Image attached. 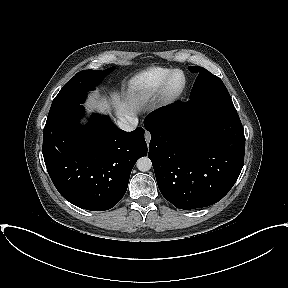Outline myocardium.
<instances>
[{"label": "myocardium", "mask_w": 288, "mask_h": 288, "mask_svg": "<svg viewBox=\"0 0 288 288\" xmlns=\"http://www.w3.org/2000/svg\"><path fill=\"white\" fill-rule=\"evenodd\" d=\"M176 76H180V81L175 83ZM186 86V77L181 70H172L162 85V95L166 102L175 100L183 92Z\"/></svg>", "instance_id": "f54148a6"}]
</instances>
